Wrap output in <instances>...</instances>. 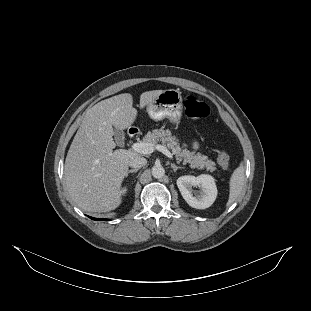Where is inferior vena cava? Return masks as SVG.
Returning a JSON list of instances; mask_svg holds the SVG:
<instances>
[{
  "mask_svg": "<svg viewBox=\"0 0 311 311\" xmlns=\"http://www.w3.org/2000/svg\"><path fill=\"white\" fill-rule=\"evenodd\" d=\"M146 164H147L146 158L140 157V156L133 157L129 161V166L134 169L141 168L145 166Z\"/></svg>",
  "mask_w": 311,
  "mask_h": 311,
  "instance_id": "602c4592",
  "label": "inferior vena cava"
}]
</instances>
